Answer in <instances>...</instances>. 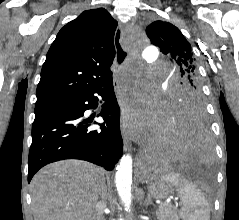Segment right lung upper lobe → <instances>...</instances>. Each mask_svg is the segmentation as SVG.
Returning <instances> with one entry per match:
<instances>
[{
	"label": "right lung upper lobe",
	"mask_w": 239,
	"mask_h": 220,
	"mask_svg": "<svg viewBox=\"0 0 239 220\" xmlns=\"http://www.w3.org/2000/svg\"><path fill=\"white\" fill-rule=\"evenodd\" d=\"M117 25L104 8L84 11L65 25L47 53L35 106L84 94L110 76Z\"/></svg>",
	"instance_id": "obj_1"
}]
</instances>
